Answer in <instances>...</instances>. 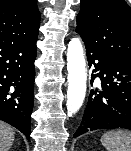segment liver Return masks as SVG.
Listing matches in <instances>:
<instances>
[{"instance_id": "6515ba94", "label": "liver", "mask_w": 131, "mask_h": 151, "mask_svg": "<svg viewBox=\"0 0 131 151\" xmlns=\"http://www.w3.org/2000/svg\"><path fill=\"white\" fill-rule=\"evenodd\" d=\"M14 141V131L7 124L0 122V151H9Z\"/></svg>"}]
</instances>
